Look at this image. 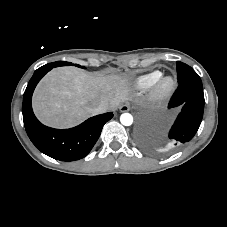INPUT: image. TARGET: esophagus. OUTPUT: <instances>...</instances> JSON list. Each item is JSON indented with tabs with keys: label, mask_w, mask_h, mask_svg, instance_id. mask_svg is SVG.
<instances>
[{
	"label": "esophagus",
	"mask_w": 227,
	"mask_h": 227,
	"mask_svg": "<svg viewBox=\"0 0 227 227\" xmlns=\"http://www.w3.org/2000/svg\"><path fill=\"white\" fill-rule=\"evenodd\" d=\"M119 110L120 112H127L130 110V106L128 104H123L122 106H120Z\"/></svg>",
	"instance_id": "34e87169"
}]
</instances>
